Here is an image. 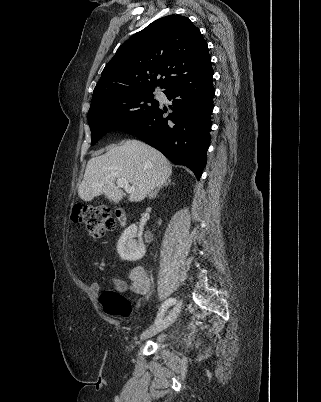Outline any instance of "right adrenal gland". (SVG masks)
Returning <instances> with one entry per match:
<instances>
[{
	"instance_id": "1",
	"label": "right adrenal gland",
	"mask_w": 321,
	"mask_h": 402,
	"mask_svg": "<svg viewBox=\"0 0 321 402\" xmlns=\"http://www.w3.org/2000/svg\"><path fill=\"white\" fill-rule=\"evenodd\" d=\"M170 183H171V180L168 179L167 182H165L164 184H162L161 186H159L158 188H156L154 191L150 192V193H149V198H154V197H156L157 192H158L161 188H163L164 186H168Z\"/></svg>"
}]
</instances>
